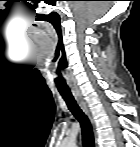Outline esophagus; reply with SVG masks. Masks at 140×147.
Masks as SVG:
<instances>
[{
	"instance_id": "34e87169",
	"label": "esophagus",
	"mask_w": 140,
	"mask_h": 147,
	"mask_svg": "<svg viewBox=\"0 0 140 147\" xmlns=\"http://www.w3.org/2000/svg\"><path fill=\"white\" fill-rule=\"evenodd\" d=\"M79 100H80V99H79ZM80 105H81L83 111H84V112L86 113V115L89 117L91 123L94 125V121H93V119H92V117H91V115H90V113H89V110H88L87 107H86V104H85L83 101L80 100Z\"/></svg>"
}]
</instances>
